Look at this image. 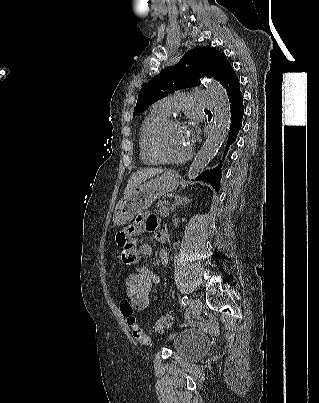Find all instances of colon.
<instances>
[{"label":"colon","instance_id":"colon-1","mask_svg":"<svg viewBox=\"0 0 319 403\" xmlns=\"http://www.w3.org/2000/svg\"><path fill=\"white\" fill-rule=\"evenodd\" d=\"M137 264L138 261L135 259V263L132 264L133 267H126L127 296L118 297V313L119 316L122 317V325H127L130 340L144 345L147 344L150 339L140 327L135 313H144L145 309H150V300H152L153 297L151 284L154 283V276L144 275V267H138ZM133 305H135V312L132 308ZM173 323V315L162 316L153 326L152 331L153 333H161L165 329L172 327Z\"/></svg>","mask_w":319,"mask_h":403}]
</instances>
